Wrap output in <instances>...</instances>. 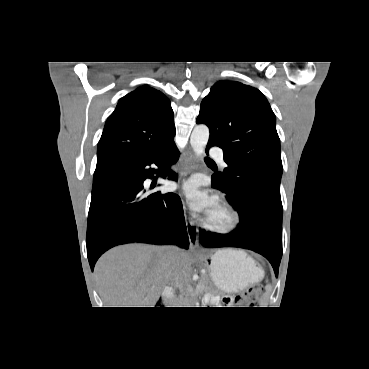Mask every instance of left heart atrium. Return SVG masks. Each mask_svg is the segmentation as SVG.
I'll use <instances>...</instances> for the list:
<instances>
[{
    "instance_id": "1",
    "label": "left heart atrium",
    "mask_w": 369,
    "mask_h": 369,
    "mask_svg": "<svg viewBox=\"0 0 369 369\" xmlns=\"http://www.w3.org/2000/svg\"><path fill=\"white\" fill-rule=\"evenodd\" d=\"M183 191L189 198L191 205L197 210L209 212L215 205V199L213 197L198 190V184L196 181H191L185 184L183 186Z\"/></svg>"
}]
</instances>
